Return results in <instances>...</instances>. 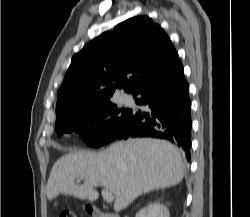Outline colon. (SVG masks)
I'll return each instance as SVG.
<instances>
[{"instance_id": "colon-1", "label": "colon", "mask_w": 250, "mask_h": 217, "mask_svg": "<svg viewBox=\"0 0 250 217\" xmlns=\"http://www.w3.org/2000/svg\"><path fill=\"white\" fill-rule=\"evenodd\" d=\"M59 217H77V215L72 211L65 210L59 214Z\"/></svg>"}]
</instances>
